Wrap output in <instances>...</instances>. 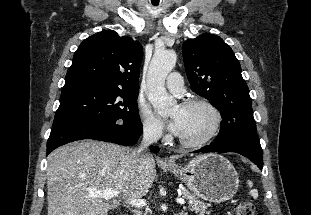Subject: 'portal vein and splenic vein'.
Returning a JSON list of instances; mask_svg holds the SVG:
<instances>
[{"label": "portal vein and splenic vein", "mask_w": 311, "mask_h": 215, "mask_svg": "<svg viewBox=\"0 0 311 215\" xmlns=\"http://www.w3.org/2000/svg\"><path fill=\"white\" fill-rule=\"evenodd\" d=\"M91 195L93 197H101L108 200L119 196V192L117 190L107 189L103 191L91 192ZM176 202L181 205L185 204V200L183 198H177ZM129 203L136 208H142L146 206V201L144 199H131Z\"/></svg>", "instance_id": "18ae733b"}]
</instances>
